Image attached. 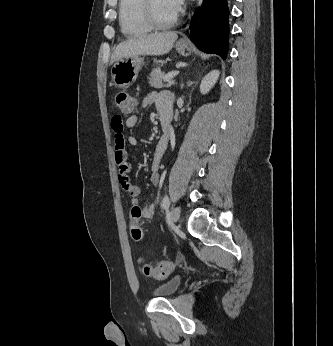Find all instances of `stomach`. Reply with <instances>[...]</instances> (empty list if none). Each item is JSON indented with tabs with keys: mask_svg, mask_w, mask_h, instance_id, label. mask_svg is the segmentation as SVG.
Wrapping results in <instances>:
<instances>
[{
	"mask_svg": "<svg viewBox=\"0 0 333 346\" xmlns=\"http://www.w3.org/2000/svg\"><path fill=\"white\" fill-rule=\"evenodd\" d=\"M175 48L183 56H187L191 52L189 44L181 41L176 43ZM143 61L144 59L139 56L117 60L111 68V77L115 86L120 89L129 88L136 81Z\"/></svg>",
	"mask_w": 333,
	"mask_h": 346,
	"instance_id": "stomach-1",
	"label": "stomach"
}]
</instances>
